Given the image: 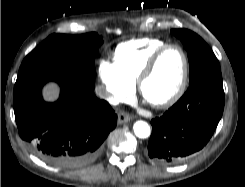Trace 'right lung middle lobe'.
<instances>
[{
	"mask_svg": "<svg viewBox=\"0 0 245 187\" xmlns=\"http://www.w3.org/2000/svg\"><path fill=\"white\" fill-rule=\"evenodd\" d=\"M102 43V37L96 33L52 34L26 56L19 72L37 66H56L95 77L94 57Z\"/></svg>",
	"mask_w": 245,
	"mask_h": 187,
	"instance_id": "right-lung-middle-lobe-1",
	"label": "right lung middle lobe"
}]
</instances>
